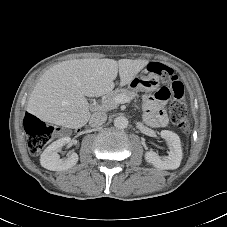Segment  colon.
Returning a JSON list of instances; mask_svg holds the SVG:
<instances>
[{"label":"colon","instance_id":"obj_1","mask_svg":"<svg viewBox=\"0 0 227 227\" xmlns=\"http://www.w3.org/2000/svg\"><path fill=\"white\" fill-rule=\"evenodd\" d=\"M148 70L158 74L166 83L174 99L169 106L171 120L183 132H188L190 122L187 115L186 105L183 101L184 87L174 75L173 70L162 63H150ZM24 128L27 133V146L31 154H38L52 139L55 127L46 124L34 115L27 114L24 117Z\"/></svg>","mask_w":227,"mask_h":227}]
</instances>
